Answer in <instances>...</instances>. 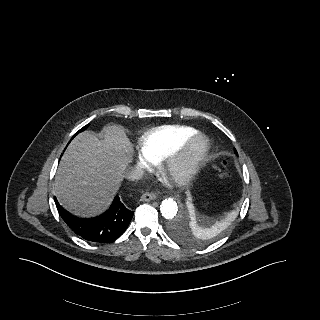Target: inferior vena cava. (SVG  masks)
Wrapping results in <instances>:
<instances>
[{"label": "inferior vena cava", "instance_id": "1", "mask_svg": "<svg viewBox=\"0 0 320 320\" xmlns=\"http://www.w3.org/2000/svg\"><path fill=\"white\" fill-rule=\"evenodd\" d=\"M144 173L141 169H127L125 172V178L128 180L134 181V180H139L143 177Z\"/></svg>", "mask_w": 320, "mask_h": 320}]
</instances>
